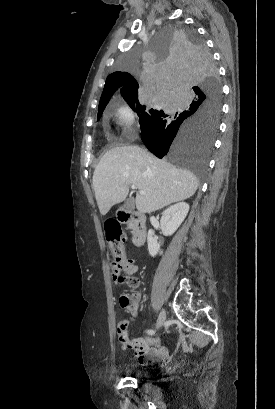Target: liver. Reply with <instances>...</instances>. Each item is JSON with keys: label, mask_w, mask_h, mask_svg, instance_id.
Segmentation results:
<instances>
[{"label": "liver", "mask_w": 275, "mask_h": 409, "mask_svg": "<svg viewBox=\"0 0 275 409\" xmlns=\"http://www.w3.org/2000/svg\"><path fill=\"white\" fill-rule=\"evenodd\" d=\"M92 182L101 215H107L113 205L125 200L129 184L145 192H138L135 198L139 213H153L171 202L185 200L198 186L191 170L156 158L138 144L107 150L93 172Z\"/></svg>", "instance_id": "1"}]
</instances>
